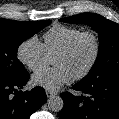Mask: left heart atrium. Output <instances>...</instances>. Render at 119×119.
I'll use <instances>...</instances> for the list:
<instances>
[{"label":"left heart atrium","mask_w":119,"mask_h":119,"mask_svg":"<svg viewBox=\"0 0 119 119\" xmlns=\"http://www.w3.org/2000/svg\"><path fill=\"white\" fill-rule=\"evenodd\" d=\"M72 79V74L62 66L39 70L32 77L34 84L51 91L59 89Z\"/></svg>","instance_id":"left-heart-atrium-1"}]
</instances>
